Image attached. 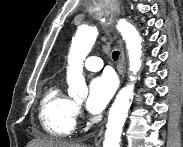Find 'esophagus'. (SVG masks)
I'll use <instances>...</instances> for the list:
<instances>
[{
    "label": "esophagus",
    "mask_w": 183,
    "mask_h": 147,
    "mask_svg": "<svg viewBox=\"0 0 183 147\" xmlns=\"http://www.w3.org/2000/svg\"><path fill=\"white\" fill-rule=\"evenodd\" d=\"M120 76H121V80L124 77V73H125V53L124 50H121V54H120ZM103 132H104V125L101 126L99 132L97 133L96 137H95V145L99 146L102 142L103 139Z\"/></svg>",
    "instance_id": "34e87169"
}]
</instances>
